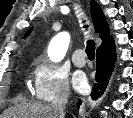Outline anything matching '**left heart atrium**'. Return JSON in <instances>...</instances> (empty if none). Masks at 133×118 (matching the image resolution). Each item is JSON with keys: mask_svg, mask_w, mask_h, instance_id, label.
<instances>
[{"mask_svg": "<svg viewBox=\"0 0 133 118\" xmlns=\"http://www.w3.org/2000/svg\"><path fill=\"white\" fill-rule=\"evenodd\" d=\"M73 85H74V88L78 92L86 91V89L88 87V82H87L86 76L81 72H77L73 78Z\"/></svg>", "mask_w": 133, "mask_h": 118, "instance_id": "1", "label": "left heart atrium"}]
</instances>
